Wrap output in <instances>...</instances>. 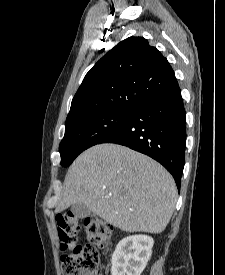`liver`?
I'll use <instances>...</instances> for the list:
<instances>
[{"label":"liver","mask_w":225,"mask_h":275,"mask_svg":"<svg viewBox=\"0 0 225 275\" xmlns=\"http://www.w3.org/2000/svg\"><path fill=\"white\" fill-rule=\"evenodd\" d=\"M177 198L174 179L153 159L125 146L97 144L72 163L55 212L76 203L126 232L161 233Z\"/></svg>","instance_id":"6515ba94"}]
</instances>
